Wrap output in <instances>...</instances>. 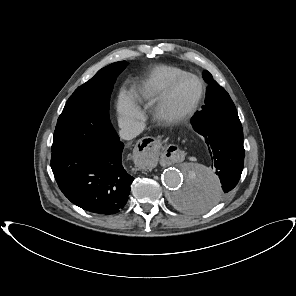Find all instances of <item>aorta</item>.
Masks as SVG:
<instances>
[{
	"mask_svg": "<svg viewBox=\"0 0 296 296\" xmlns=\"http://www.w3.org/2000/svg\"><path fill=\"white\" fill-rule=\"evenodd\" d=\"M166 198L170 206L181 213H204L219 202L221 184L213 171L203 165L187 163L162 174Z\"/></svg>",
	"mask_w": 296,
	"mask_h": 296,
	"instance_id": "1",
	"label": "aorta"
}]
</instances>
